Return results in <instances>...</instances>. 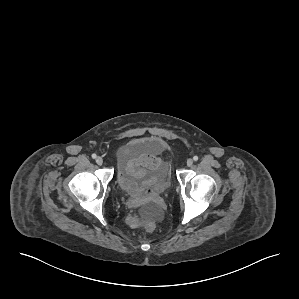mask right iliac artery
Returning <instances> with one entry per match:
<instances>
[{"label":"right iliac artery","instance_id":"right-iliac-artery-1","mask_svg":"<svg viewBox=\"0 0 299 299\" xmlns=\"http://www.w3.org/2000/svg\"><path fill=\"white\" fill-rule=\"evenodd\" d=\"M97 157V155L94 153L92 154V158L95 159Z\"/></svg>","mask_w":299,"mask_h":299}]
</instances>
